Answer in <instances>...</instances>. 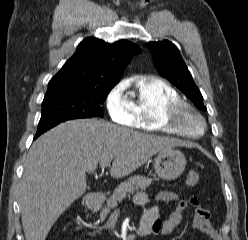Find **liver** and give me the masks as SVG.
<instances>
[{"instance_id":"obj_1","label":"liver","mask_w":248,"mask_h":240,"mask_svg":"<svg viewBox=\"0 0 248 240\" xmlns=\"http://www.w3.org/2000/svg\"><path fill=\"white\" fill-rule=\"evenodd\" d=\"M184 142L144 134L104 120L79 119L59 124L30 148L20 186L26 240H45L56 220L83 195L86 173L113 160L110 174L122 178L152 156Z\"/></svg>"}]
</instances>
